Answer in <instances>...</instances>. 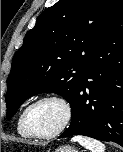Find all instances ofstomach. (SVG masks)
<instances>
[{"label":"stomach","mask_w":123,"mask_h":152,"mask_svg":"<svg viewBox=\"0 0 123 152\" xmlns=\"http://www.w3.org/2000/svg\"><path fill=\"white\" fill-rule=\"evenodd\" d=\"M54 152H78V150L72 146H61L57 148Z\"/></svg>","instance_id":"stomach-1"}]
</instances>
